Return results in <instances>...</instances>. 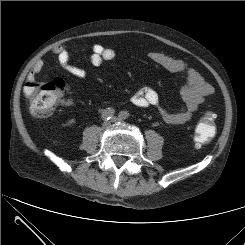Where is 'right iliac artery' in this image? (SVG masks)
Listing matches in <instances>:
<instances>
[{"instance_id": "82829eb1", "label": "right iliac artery", "mask_w": 245, "mask_h": 245, "mask_svg": "<svg viewBox=\"0 0 245 245\" xmlns=\"http://www.w3.org/2000/svg\"><path fill=\"white\" fill-rule=\"evenodd\" d=\"M115 113V110L112 108H107L102 112L101 118L104 121H108L109 119H111L113 117Z\"/></svg>"}]
</instances>
